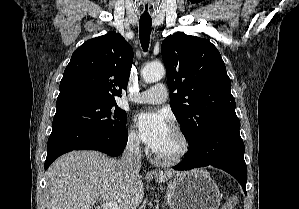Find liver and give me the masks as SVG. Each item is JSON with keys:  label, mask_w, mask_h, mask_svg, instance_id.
I'll use <instances>...</instances> for the list:
<instances>
[{"label": "liver", "mask_w": 299, "mask_h": 209, "mask_svg": "<svg viewBox=\"0 0 299 209\" xmlns=\"http://www.w3.org/2000/svg\"><path fill=\"white\" fill-rule=\"evenodd\" d=\"M171 169L147 173L159 183L181 175ZM144 197L139 170L130 172L117 159L97 151H73L59 157L48 169L47 209H92L96 201L114 200L121 209H136Z\"/></svg>", "instance_id": "6515ba94"}]
</instances>
